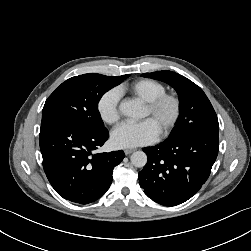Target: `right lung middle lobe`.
Returning a JSON list of instances; mask_svg holds the SVG:
<instances>
[{"label": "right lung middle lobe", "mask_w": 251, "mask_h": 251, "mask_svg": "<svg viewBox=\"0 0 251 251\" xmlns=\"http://www.w3.org/2000/svg\"><path fill=\"white\" fill-rule=\"evenodd\" d=\"M129 76L90 73L66 80L46 100L41 126L66 121L91 129L105 128L98 111V102L105 92Z\"/></svg>", "instance_id": "dd1d6c3e"}]
</instances>
